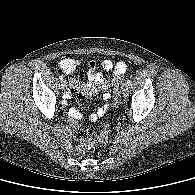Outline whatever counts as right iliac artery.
<instances>
[{
  "label": "right iliac artery",
  "mask_w": 195,
  "mask_h": 195,
  "mask_svg": "<svg viewBox=\"0 0 195 195\" xmlns=\"http://www.w3.org/2000/svg\"><path fill=\"white\" fill-rule=\"evenodd\" d=\"M59 79H60L61 82L64 80L62 75L59 76Z\"/></svg>",
  "instance_id": "right-iliac-artery-1"
}]
</instances>
